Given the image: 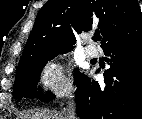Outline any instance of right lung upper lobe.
Returning <instances> with one entry per match:
<instances>
[{"label":"right lung upper lobe","instance_id":"cb5924a9","mask_svg":"<svg viewBox=\"0 0 142 119\" xmlns=\"http://www.w3.org/2000/svg\"><path fill=\"white\" fill-rule=\"evenodd\" d=\"M97 27L102 49L142 33L137 0H48L40 9L18 68L54 52L73 49L76 34Z\"/></svg>","mask_w":142,"mask_h":119}]
</instances>
